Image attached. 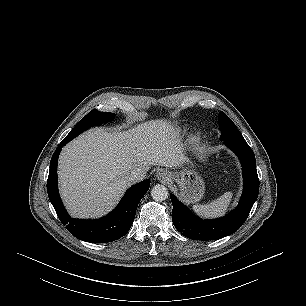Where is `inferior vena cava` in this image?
Segmentation results:
<instances>
[{"mask_svg": "<svg viewBox=\"0 0 306 306\" xmlns=\"http://www.w3.org/2000/svg\"><path fill=\"white\" fill-rule=\"evenodd\" d=\"M146 171L141 168L133 169L129 174V180L132 182L141 181L145 178Z\"/></svg>", "mask_w": 306, "mask_h": 306, "instance_id": "inferior-vena-cava-1", "label": "inferior vena cava"}]
</instances>
